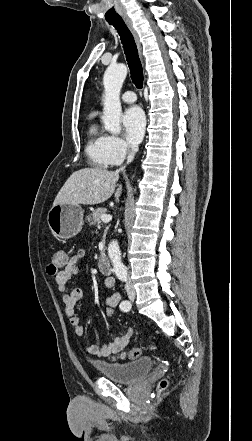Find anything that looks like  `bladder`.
<instances>
[{
	"mask_svg": "<svg viewBox=\"0 0 252 441\" xmlns=\"http://www.w3.org/2000/svg\"><path fill=\"white\" fill-rule=\"evenodd\" d=\"M104 377L121 384H133L146 377L153 367L149 356L140 357L132 362H102L95 365Z\"/></svg>",
	"mask_w": 252,
	"mask_h": 441,
	"instance_id": "31cf9c89",
	"label": "bladder"
}]
</instances>
